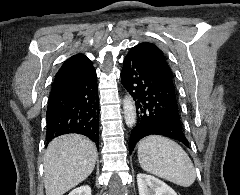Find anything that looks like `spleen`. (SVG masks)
<instances>
[{
    "mask_svg": "<svg viewBox=\"0 0 240 195\" xmlns=\"http://www.w3.org/2000/svg\"><path fill=\"white\" fill-rule=\"evenodd\" d=\"M138 161L145 171L189 187L196 179L195 167L183 147L162 135H147L138 143Z\"/></svg>",
    "mask_w": 240,
    "mask_h": 195,
    "instance_id": "1",
    "label": "spleen"
}]
</instances>
